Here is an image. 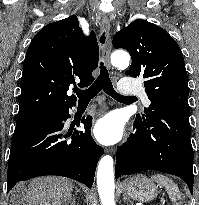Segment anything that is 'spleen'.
<instances>
[{
  "mask_svg": "<svg viewBox=\"0 0 199 205\" xmlns=\"http://www.w3.org/2000/svg\"><path fill=\"white\" fill-rule=\"evenodd\" d=\"M153 181H156L158 184L162 185L168 193L170 200L174 203L180 199V191L178 186L168 178L162 174H155L151 177ZM177 205V204H175Z\"/></svg>",
  "mask_w": 199,
  "mask_h": 205,
  "instance_id": "obj_1",
  "label": "spleen"
}]
</instances>
